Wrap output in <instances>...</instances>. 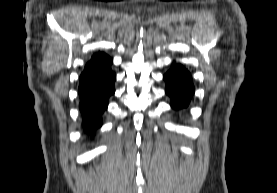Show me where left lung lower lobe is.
<instances>
[{
  "instance_id": "obj_1",
  "label": "left lung lower lobe",
  "mask_w": 277,
  "mask_h": 193,
  "mask_svg": "<svg viewBox=\"0 0 277 193\" xmlns=\"http://www.w3.org/2000/svg\"><path fill=\"white\" fill-rule=\"evenodd\" d=\"M164 80L171 106L175 109L187 107L194 93L190 73L181 65H175L164 75Z\"/></svg>"
}]
</instances>
